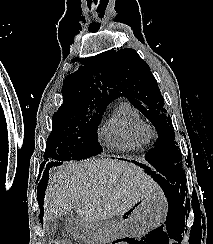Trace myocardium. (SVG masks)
<instances>
[{"label": "myocardium", "mask_w": 213, "mask_h": 244, "mask_svg": "<svg viewBox=\"0 0 213 244\" xmlns=\"http://www.w3.org/2000/svg\"><path fill=\"white\" fill-rule=\"evenodd\" d=\"M145 133L151 138H155L157 136V131L155 129V127L151 124H147L146 128H145Z\"/></svg>", "instance_id": "1"}]
</instances>
